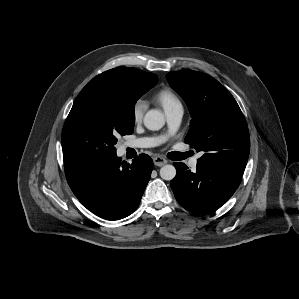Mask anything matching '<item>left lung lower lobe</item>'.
Returning a JSON list of instances; mask_svg holds the SVG:
<instances>
[{"instance_id":"left-lung-lower-lobe-1","label":"left lung lower lobe","mask_w":299,"mask_h":299,"mask_svg":"<svg viewBox=\"0 0 299 299\" xmlns=\"http://www.w3.org/2000/svg\"><path fill=\"white\" fill-rule=\"evenodd\" d=\"M176 177L170 185L178 203L188 211L210 213L221 207L236 191L241 178L197 164L191 172L181 162L174 163Z\"/></svg>"}]
</instances>
